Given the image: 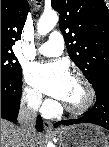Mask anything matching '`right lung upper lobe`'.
Segmentation results:
<instances>
[{
  "instance_id": "right-lung-upper-lobe-1",
  "label": "right lung upper lobe",
  "mask_w": 109,
  "mask_h": 147,
  "mask_svg": "<svg viewBox=\"0 0 109 147\" xmlns=\"http://www.w3.org/2000/svg\"><path fill=\"white\" fill-rule=\"evenodd\" d=\"M27 0H1V48L12 50L28 13Z\"/></svg>"
}]
</instances>
